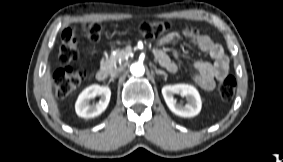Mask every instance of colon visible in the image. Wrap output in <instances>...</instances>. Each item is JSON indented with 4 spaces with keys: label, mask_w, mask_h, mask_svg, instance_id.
<instances>
[{
    "label": "colon",
    "mask_w": 283,
    "mask_h": 162,
    "mask_svg": "<svg viewBox=\"0 0 283 162\" xmlns=\"http://www.w3.org/2000/svg\"><path fill=\"white\" fill-rule=\"evenodd\" d=\"M138 31L147 38H156L166 34L171 29L168 21L142 22L137 27ZM81 33L91 41H98L101 36L102 26L98 22H88L81 26ZM77 30L67 28L61 34L59 48V62L61 68L52 76L55 94L58 98H66L74 93L85 81L86 74L82 69L73 70L69 64L79 56L77 48ZM236 80L228 75L220 80L218 94L223 101H230L235 94Z\"/></svg>",
    "instance_id": "1"
}]
</instances>
